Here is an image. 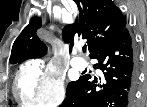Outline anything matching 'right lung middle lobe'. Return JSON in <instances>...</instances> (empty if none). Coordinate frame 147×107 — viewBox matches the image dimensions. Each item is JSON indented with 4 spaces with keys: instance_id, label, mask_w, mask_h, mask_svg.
I'll use <instances>...</instances> for the list:
<instances>
[{
    "instance_id": "1",
    "label": "right lung middle lobe",
    "mask_w": 147,
    "mask_h": 107,
    "mask_svg": "<svg viewBox=\"0 0 147 107\" xmlns=\"http://www.w3.org/2000/svg\"><path fill=\"white\" fill-rule=\"evenodd\" d=\"M74 84H75V82H70V83L68 84L66 93L69 92V91L73 88Z\"/></svg>"
}]
</instances>
